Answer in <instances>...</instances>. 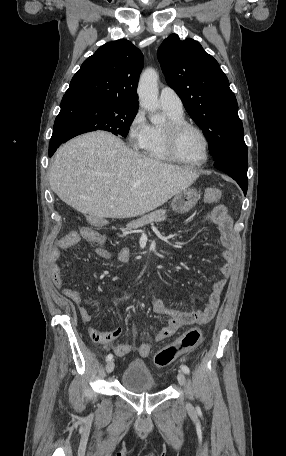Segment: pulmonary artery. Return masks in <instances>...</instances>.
Instances as JSON below:
<instances>
[{"mask_svg": "<svg viewBox=\"0 0 286 456\" xmlns=\"http://www.w3.org/2000/svg\"><path fill=\"white\" fill-rule=\"evenodd\" d=\"M159 101L163 109L176 114L183 113L182 101L172 88H162L159 96Z\"/></svg>", "mask_w": 286, "mask_h": 456, "instance_id": "pulmonary-artery-1", "label": "pulmonary artery"}]
</instances>
